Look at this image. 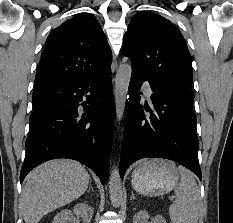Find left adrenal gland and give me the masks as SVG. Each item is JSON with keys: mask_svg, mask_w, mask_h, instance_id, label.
<instances>
[{"mask_svg": "<svg viewBox=\"0 0 233 223\" xmlns=\"http://www.w3.org/2000/svg\"><path fill=\"white\" fill-rule=\"evenodd\" d=\"M131 193H132V197H131V199H136V197H135V195H134L133 191H131Z\"/></svg>", "mask_w": 233, "mask_h": 223, "instance_id": "a2214340", "label": "left adrenal gland"}]
</instances>
